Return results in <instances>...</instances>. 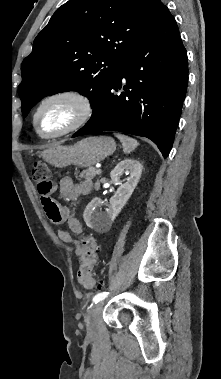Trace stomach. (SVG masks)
<instances>
[{"label": "stomach", "mask_w": 221, "mask_h": 379, "mask_svg": "<svg viewBox=\"0 0 221 379\" xmlns=\"http://www.w3.org/2000/svg\"><path fill=\"white\" fill-rule=\"evenodd\" d=\"M115 149V141L110 137H88L72 146H52L42 152V157L57 168L69 165L91 167L111 155Z\"/></svg>", "instance_id": "stomach-1"}]
</instances>
